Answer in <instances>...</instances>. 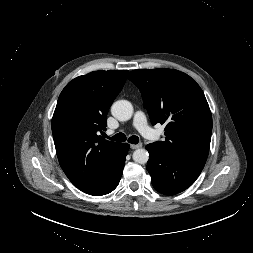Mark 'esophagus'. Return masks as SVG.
<instances>
[{"instance_id": "obj_1", "label": "esophagus", "mask_w": 253, "mask_h": 253, "mask_svg": "<svg viewBox=\"0 0 253 253\" xmlns=\"http://www.w3.org/2000/svg\"><path fill=\"white\" fill-rule=\"evenodd\" d=\"M142 147V144L141 143H139V144H131L130 145V148L131 149H138V148H141Z\"/></svg>"}]
</instances>
